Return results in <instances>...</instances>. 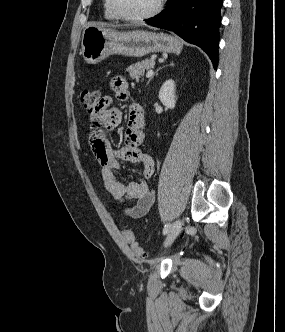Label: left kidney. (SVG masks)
<instances>
[{
    "label": "left kidney",
    "instance_id": "left-kidney-1",
    "mask_svg": "<svg viewBox=\"0 0 285 332\" xmlns=\"http://www.w3.org/2000/svg\"><path fill=\"white\" fill-rule=\"evenodd\" d=\"M159 99L164 106L169 109H174L175 100V82L169 79L163 83L159 91Z\"/></svg>",
    "mask_w": 285,
    "mask_h": 332
}]
</instances>
